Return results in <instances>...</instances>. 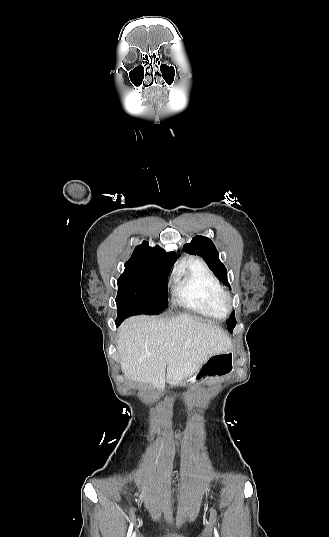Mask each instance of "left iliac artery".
Listing matches in <instances>:
<instances>
[{
	"label": "left iliac artery",
	"mask_w": 329,
	"mask_h": 537,
	"mask_svg": "<svg viewBox=\"0 0 329 537\" xmlns=\"http://www.w3.org/2000/svg\"><path fill=\"white\" fill-rule=\"evenodd\" d=\"M214 536H215V537H219V534H218V531H217L216 528H214Z\"/></svg>",
	"instance_id": "1"
}]
</instances>
